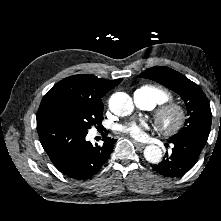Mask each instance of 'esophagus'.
<instances>
[{"instance_id":"34e87169","label":"esophagus","mask_w":221,"mask_h":221,"mask_svg":"<svg viewBox=\"0 0 221 221\" xmlns=\"http://www.w3.org/2000/svg\"><path fill=\"white\" fill-rule=\"evenodd\" d=\"M134 144L139 149H143L146 146V144L140 143V142H137V141H134Z\"/></svg>"}]
</instances>
